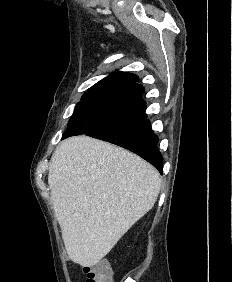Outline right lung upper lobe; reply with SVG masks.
<instances>
[{"mask_svg":"<svg viewBox=\"0 0 232 282\" xmlns=\"http://www.w3.org/2000/svg\"><path fill=\"white\" fill-rule=\"evenodd\" d=\"M138 77L132 73L115 72L97 82L85 94L106 91H135L143 93L144 88L138 84Z\"/></svg>","mask_w":232,"mask_h":282,"instance_id":"right-lung-upper-lobe-1","label":"right lung upper lobe"}]
</instances>
